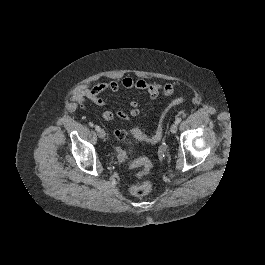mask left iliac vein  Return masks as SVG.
Segmentation results:
<instances>
[{
	"mask_svg": "<svg viewBox=\"0 0 265 265\" xmlns=\"http://www.w3.org/2000/svg\"><path fill=\"white\" fill-rule=\"evenodd\" d=\"M177 130H178V125L176 124V123H173L172 125H171V128H170V131H171V133H176L177 132Z\"/></svg>",
	"mask_w": 265,
	"mask_h": 265,
	"instance_id": "left-iliac-vein-1",
	"label": "left iliac vein"
}]
</instances>
